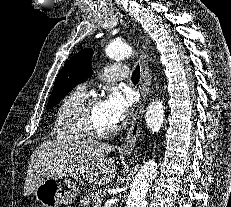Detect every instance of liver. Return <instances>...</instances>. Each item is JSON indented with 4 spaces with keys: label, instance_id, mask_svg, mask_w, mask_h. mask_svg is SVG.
<instances>
[{
    "label": "liver",
    "instance_id": "liver-1",
    "mask_svg": "<svg viewBox=\"0 0 231 207\" xmlns=\"http://www.w3.org/2000/svg\"><path fill=\"white\" fill-rule=\"evenodd\" d=\"M112 146L94 142H45L32 153L24 195L34 192L45 178L58 176L89 181L91 187L108 184L116 176V165L106 156Z\"/></svg>",
    "mask_w": 231,
    "mask_h": 207
}]
</instances>
